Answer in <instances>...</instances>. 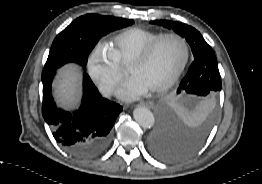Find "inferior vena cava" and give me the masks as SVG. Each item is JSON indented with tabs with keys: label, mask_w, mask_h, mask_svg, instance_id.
Returning <instances> with one entry per match:
<instances>
[{
	"label": "inferior vena cava",
	"mask_w": 262,
	"mask_h": 184,
	"mask_svg": "<svg viewBox=\"0 0 262 184\" xmlns=\"http://www.w3.org/2000/svg\"><path fill=\"white\" fill-rule=\"evenodd\" d=\"M113 88L114 87L112 85H103L101 87V92L104 96H109L112 93Z\"/></svg>",
	"instance_id": "obj_1"
}]
</instances>
